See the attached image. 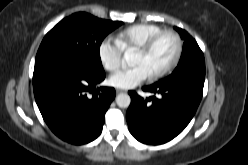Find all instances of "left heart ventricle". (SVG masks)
<instances>
[{
    "instance_id": "b2bd125f",
    "label": "left heart ventricle",
    "mask_w": 248,
    "mask_h": 165,
    "mask_svg": "<svg viewBox=\"0 0 248 165\" xmlns=\"http://www.w3.org/2000/svg\"><path fill=\"white\" fill-rule=\"evenodd\" d=\"M175 50V41L171 36L163 37L153 49L142 54L137 52L133 65H143L149 71L150 75L160 70L171 58Z\"/></svg>"
}]
</instances>
